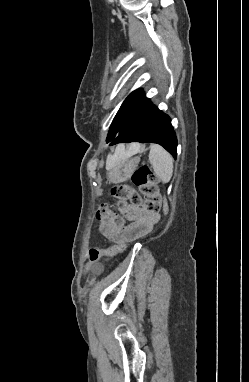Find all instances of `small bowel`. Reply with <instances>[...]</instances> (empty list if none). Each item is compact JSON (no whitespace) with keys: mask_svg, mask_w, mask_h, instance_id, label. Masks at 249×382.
I'll list each match as a JSON object with an SVG mask.
<instances>
[{"mask_svg":"<svg viewBox=\"0 0 249 382\" xmlns=\"http://www.w3.org/2000/svg\"><path fill=\"white\" fill-rule=\"evenodd\" d=\"M124 218L129 222L126 226H115L111 221L99 218V227L105 237L113 241L136 240L148 234L154 224L159 221V216L147 212L139 206H128L123 210Z\"/></svg>","mask_w":249,"mask_h":382,"instance_id":"obj_1","label":"small bowel"}]
</instances>
